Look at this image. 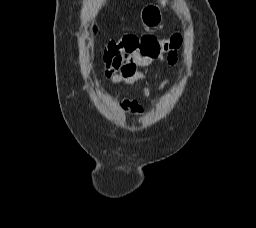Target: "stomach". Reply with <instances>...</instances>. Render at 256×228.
<instances>
[{"label": "stomach", "instance_id": "obj_1", "mask_svg": "<svg viewBox=\"0 0 256 228\" xmlns=\"http://www.w3.org/2000/svg\"><path fill=\"white\" fill-rule=\"evenodd\" d=\"M141 21L146 28H157L162 23V15L155 6H146L140 13Z\"/></svg>", "mask_w": 256, "mask_h": 228}]
</instances>
